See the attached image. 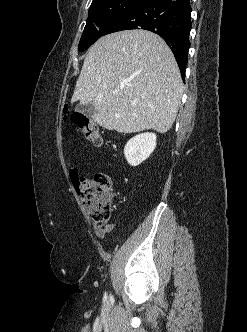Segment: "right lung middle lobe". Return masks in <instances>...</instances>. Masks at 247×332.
I'll return each mask as SVG.
<instances>
[{
  "instance_id": "dd1d6c3e",
  "label": "right lung middle lobe",
  "mask_w": 247,
  "mask_h": 332,
  "mask_svg": "<svg viewBox=\"0 0 247 332\" xmlns=\"http://www.w3.org/2000/svg\"><path fill=\"white\" fill-rule=\"evenodd\" d=\"M146 0H99L91 4L87 23L79 42L83 52L105 34L116 20L143 4Z\"/></svg>"
}]
</instances>
